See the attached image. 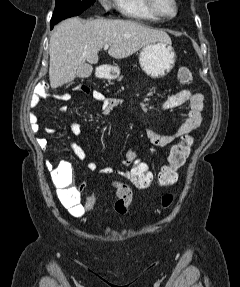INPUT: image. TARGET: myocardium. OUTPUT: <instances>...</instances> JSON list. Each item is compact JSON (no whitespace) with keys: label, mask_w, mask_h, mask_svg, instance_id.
Segmentation results:
<instances>
[{"label":"myocardium","mask_w":240,"mask_h":287,"mask_svg":"<svg viewBox=\"0 0 240 287\" xmlns=\"http://www.w3.org/2000/svg\"><path fill=\"white\" fill-rule=\"evenodd\" d=\"M145 1H146L148 10L159 19H164V20L171 19L178 14L179 7H178L177 0H172V3L174 5V12L172 14H165L164 12H162L158 7L157 0H145Z\"/></svg>","instance_id":"1"}]
</instances>
